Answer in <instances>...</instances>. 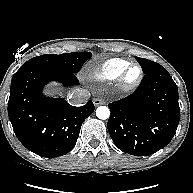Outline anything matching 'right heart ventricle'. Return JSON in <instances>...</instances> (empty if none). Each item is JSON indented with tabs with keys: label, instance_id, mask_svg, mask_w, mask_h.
Segmentation results:
<instances>
[{
	"label": "right heart ventricle",
	"instance_id": "obj_1",
	"mask_svg": "<svg viewBox=\"0 0 193 193\" xmlns=\"http://www.w3.org/2000/svg\"><path fill=\"white\" fill-rule=\"evenodd\" d=\"M130 64L126 59L111 58L101 62L92 69V76L101 82H110Z\"/></svg>",
	"mask_w": 193,
	"mask_h": 193
}]
</instances>
